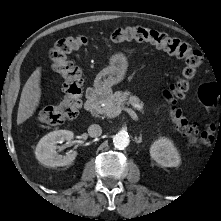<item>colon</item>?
I'll return each instance as SVG.
<instances>
[{
    "label": "colon",
    "mask_w": 221,
    "mask_h": 221,
    "mask_svg": "<svg viewBox=\"0 0 221 221\" xmlns=\"http://www.w3.org/2000/svg\"><path fill=\"white\" fill-rule=\"evenodd\" d=\"M129 41L148 42L167 53L184 60L181 75L163 92L168 105L169 116L178 132L191 144H210L214 140V131L211 127L199 130L184 115L177 102L183 99L202 63V55L185 42L173 38L164 32L144 28L126 27L115 29L107 38L109 43H124ZM89 40L84 35L68 36L58 40L51 48L49 56L53 70L63 80V98L57 105L40 111L38 119L45 125H59L67 119L74 118L81 106L82 73L77 64L69 59V54L81 49ZM199 98L202 104L211 109L217 102L221 103V93L214 84L205 83L199 89Z\"/></svg>",
    "instance_id": "1"
}]
</instances>
